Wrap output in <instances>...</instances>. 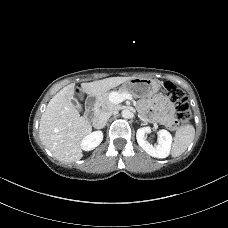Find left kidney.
I'll return each mask as SVG.
<instances>
[{
	"mask_svg": "<svg viewBox=\"0 0 228 228\" xmlns=\"http://www.w3.org/2000/svg\"><path fill=\"white\" fill-rule=\"evenodd\" d=\"M150 127H142L137 130L136 139L139 146L150 156L155 158H166L170 154L172 145V136L167 130L158 131V143L150 144L145 137V134L150 132Z\"/></svg>",
	"mask_w": 228,
	"mask_h": 228,
	"instance_id": "5707ae66",
	"label": "left kidney"
}]
</instances>
